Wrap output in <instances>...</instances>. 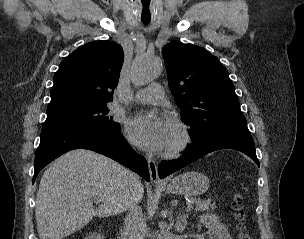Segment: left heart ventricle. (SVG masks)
I'll return each mask as SVG.
<instances>
[{
    "instance_id": "b2bd125f",
    "label": "left heart ventricle",
    "mask_w": 304,
    "mask_h": 239,
    "mask_svg": "<svg viewBox=\"0 0 304 239\" xmlns=\"http://www.w3.org/2000/svg\"><path fill=\"white\" fill-rule=\"evenodd\" d=\"M177 139H178V134H177V130H176V127H175L174 130L172 131V134H171L170 138H169L167 147H169L172 144H174L177 141Z\"/></svg>"
}]
</instances>
